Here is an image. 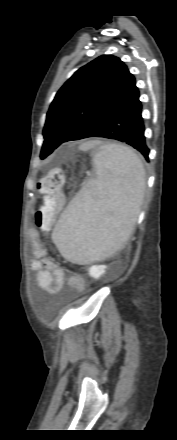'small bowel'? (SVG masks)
Wrapping results in <instances>:
<instances>
[{
    "instance_id": "obj_1",
    "label": "small bowel",
    "mask_w": 177,
    "mask_h": 440,
    "mask_svg": "<svg viewBox=\"0 0 177 440\" xmlns=\"http://www.w3.org/2000/svg\"><path fill=\"white\" fill-rule=\"evenodd\" d=\"M32 236H36V231L32 232ZM33 255L30 267L34 271V280L37 285L47 293H58L66 283L63 268L48 257L45 248L37 240L34 243ZM69 282L76 291L85 290V283L81 278L73 276Z\"/></svg>"
}]
</instances>
